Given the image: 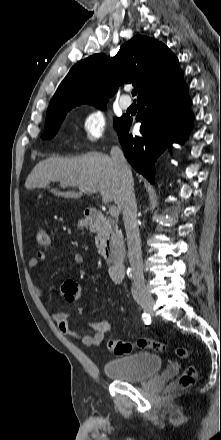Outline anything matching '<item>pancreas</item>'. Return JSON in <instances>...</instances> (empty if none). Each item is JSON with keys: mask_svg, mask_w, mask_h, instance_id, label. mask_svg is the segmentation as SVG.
Listing matches in <instances>:
<instances>
[{"mask_svg": "<svg viewBox=\"0 0 221 440\" xmlns=\"http://www.w3.org/2000/svg\"><path fill=\"white\" fill-rule=\"evenodd\" d=\"M110 236L113 238L114 241V244L112 246L113 252L116 253L118 260L123 259L125 255L123 235L119 230L117 224L111 220H107L105 229H100L97 232L96 240L100 241V245L98 248L103 249L106 244V241L109 239Z\"/></svg>", "mask_w": 221, "mask_h": 440, "instance_id": "1", "label": "pancreas"}]
</instances>
